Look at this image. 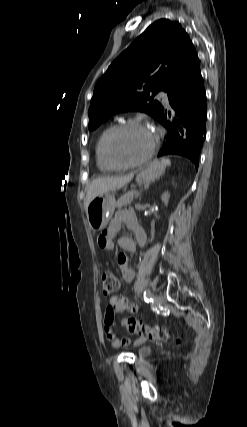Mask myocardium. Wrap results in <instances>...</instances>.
Wrapping results in <instances>:
<instances>
[{"mask_svg":"<svg viewBox=\"0 0 247 427\" xmlns=\"http://www.w3.org/2000/svg\"><path fill=\"white\" fill-rule=\"evenodd\" d=\"M130 127H142V128H147L149 130L152 131L153 133V142L152 145L149 149V151L139 160L133 161V162H120L119 160H117L113 154L112 151V145L113 142L115 140V138L117 137V135L119 133H121L123 130L130 128ZM159 143V134L157 132V130L153 129L152 127L148 126L147 124L138 121V120H127L124 121L118 125H116L111 132L108 134L105 143H104V155L106 160L108 161V163L114 167L115 169H127V168H133V167H137L140 165H143L145 163H147L152 156L155 153V150L158 146Z\"/></svg>","mask_w":247,"mask_h":427,"instance_id":"f54148a6","label":"myocardium"}]
</instances>
